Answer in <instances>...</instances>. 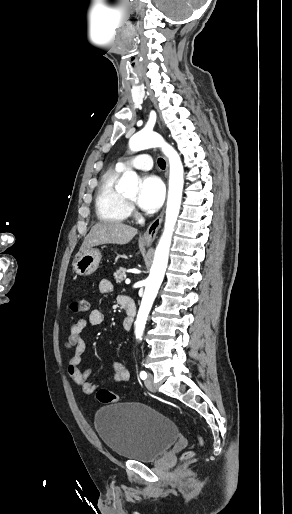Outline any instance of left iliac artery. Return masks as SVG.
<instances>
[{
	"mask_svg": "<svg viewBox=\"0 0 292 514\" xmlns=\"http://www.w3.org/2000/svg\"><path fill=\"white\" fill-rule=\"evenodd\" d=\"M140 378L145 380L147 378V373L145 371L140 372Z\"/></svg>",
	"mask_w": 292,
	"mask_h": 514,
	"instance_id": "1",
	"label": "left iliac artery"
}]
</instances>
